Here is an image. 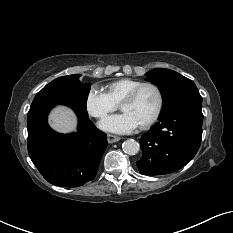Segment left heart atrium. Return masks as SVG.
<instances>
[{"instance_id": "39dd6f15", "label": "left heart atrium", "mask_w": 233, "mask_h": 233, "mask_svg": "<svg viewBox=\"0 0 233 233\" xmlns=\"http://www.w3.org/2000/svg\"><path fill=\"white\" fill-rule=\"evenodd\" d=\"M139 125L140 123L128 112L108 117L100 123L102 129L114 133H128Z\"/></svg>"}]
</instances>
